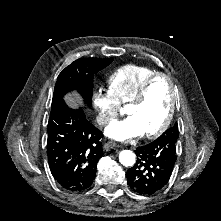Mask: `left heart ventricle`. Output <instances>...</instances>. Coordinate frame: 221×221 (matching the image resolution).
Masks as SVG:
<instances>
[{
    "label": "left heart ventricle",
    "instance_id": "b2bd125f",
    "mask_svg": "<svg viewBox=\"0 0 221 221\" xmlns=\"http://www.w3.org/2000/svg\"><path fill=\"white\" fill-rule=\"evenodd\" d=\"M170 104V89L165 79L155 81L143 103L127 105L126 114L139 126L143 134L157 129L164 121Z\"/></svg>",
    "mask_w": 221,
    "mask_h": 221
}]
</instances>
